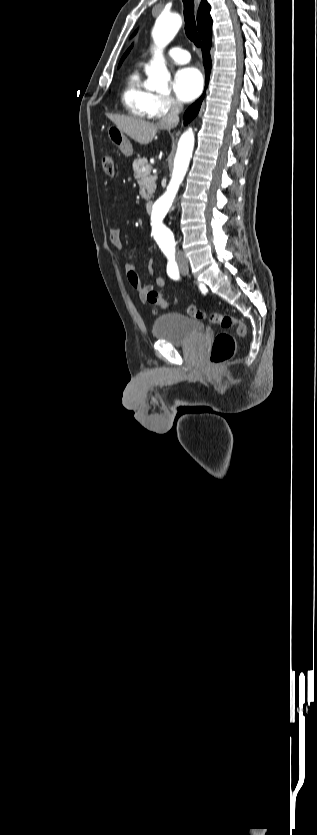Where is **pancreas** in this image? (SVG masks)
I'll use <instances>...</instances> for the list:
<instances>
[{
  "instance_id": "pancreas-1",
  "label": "pancreas",
  "mask_w": 317,
  "mask_h": 835,
  "mask_svg": "<svg viewBox=\"0 0 317 835\" xmlns=\"http://www.w3.org/2000/svg\"><path fill=\"white\" fill-rule=\"evenodd\" d=\"M146 167V172L142 168ZM152 166L148 164L146 158H138L133 161L134 177L138 180L140 187V195L144 199H150L156 189V176H151Z\"/></svg>"
}]
</instances>
